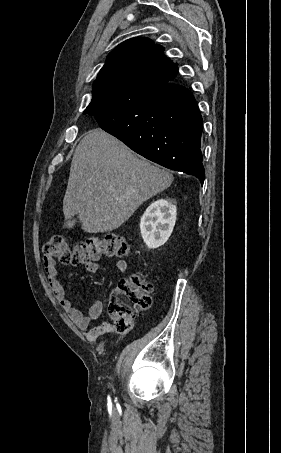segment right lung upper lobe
Wrapping results in <instances>:
<instances>
[{
  "label": "right lung upper lobe",
  "instance_id": "right-lung-upper-lobe-1",
  "mask_svg": "<svg viewBox=\"0 0 281 453\" xmlns=\"http://www.w3.org/2000/svg\"><path fill=\"white\" fill-rule=\"evenodd\" d=\"M163 47L149 38H132L121 43L107 57L93 85L91 103L84 112L111 105L173 82L177 64L164 56Z\"/></svg>",
  "mask_w": 281,
  "mask_h": 453
}]
</instances>
